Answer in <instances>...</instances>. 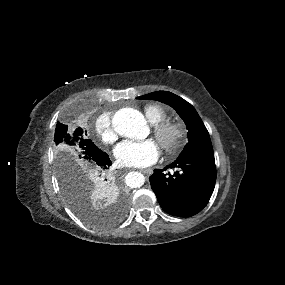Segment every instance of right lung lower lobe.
Returning a JSON list of instances; mask_svg holds the SVG:
<instances>
[{
	"label": "right lung lower lobe",
	"mask_w": 285,
	"mask_h": 285,
	"mask_svg": "<svg viewBox=\"0 0 285 285\" xmlns=\"http://www.w3.org/2000/svg\"><path fill=\"white\" fill-rule=\"evenodd\" d=\"M96 163L101 169V171L103 172V179H102L101 184L106 186L109 190L113 191L114 189L113 179L111 178V176L106 175V173L104 172L106 169L109 168V166H111V161L108 157V154L105 152H102L98 156Z\"/></svg>",
	"instance_id": "98d812e1"
}]
</instances>
